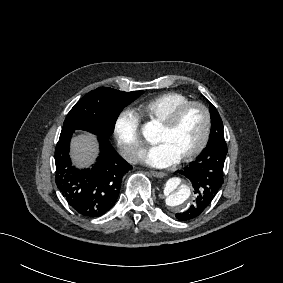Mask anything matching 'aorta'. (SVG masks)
I'll use <instances>...</instances> for the list:
<instances>
[{
	"instance_id": "1",
	"label": "aorta",
	"mask_w": 283,
	"mask_h": 283,
	"mask_svg": "<svg viewBox=\"0 0 283 283\" xmlns=\"http://www.w3.org/2000/svg\"><path fill=\"white\" fill-rule=\"evenodd\" d=\"M156 134L157 127L152 123H147L143 127V135L146 139H153ZM161 197L169 208L184 211L193 200L191 185L184 178L172 177L164 184Z\"/></svg>"
}]
</instances>
